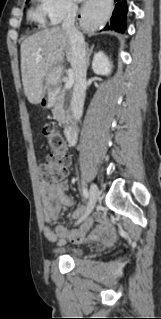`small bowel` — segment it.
<instances>
[{
  "mask_svg": "<svg viewBox=\"0 0 161 319\" xmlns=\"http://www.w3.org/2000/svg\"><path fill=\"white\" fill-rule=\"evenodd\" d=\"M68 190V183L66 181L58 182L55 184H43L42 186V205L43 213L47 221L57 220L58 218V206L64 205L70 208V214L72 216H78L86 214L85 207L73 208V202L71 198L66 194ZM98 219V225L92 227L93 217H88L82 226L73 231H68L63 225H58L56 232H53L48 226H44L43 233L51 241L57 240L58 237L67 239L72 243H81L85 239V234L90 231L91 238L106 237L111 238L114 235L113 225L106 220L102 213L96 215Z\"/></svg>",
  "mask_w": 161,
  "mask_h": 319,
  "instance_id": "c3829d8e",
  "label": "small bowel"
}]
</instances>
